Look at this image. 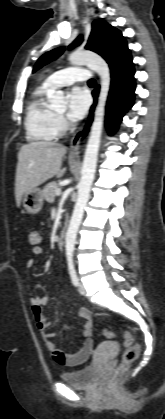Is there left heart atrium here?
I'll list each match as a JSON object with an SVG mask.
<instances>
[{"label": "left heart atrium", "instance_id": "1", "mask_svg": "<svg viewBox=\"0 0 165 419\" xmlns=\"http://www.w3.org/2000/svg\"><path fill=\"white\" fill-rule=\"evenodd\" d=\"M90 98L86 90L75 87L68 94V111L70 119H82L89 107Z\"/></svg>", "mask_w": 165, "mask_h": 419}]
</instances>
